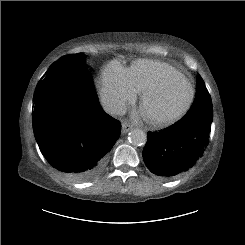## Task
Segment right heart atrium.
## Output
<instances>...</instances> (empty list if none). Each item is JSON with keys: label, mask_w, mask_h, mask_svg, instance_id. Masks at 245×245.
<instances>
[{"label": "right heart atrium", "mask_w": 245, "mask_h": 245, "mask_svg": "<svg viewBox=\"0 0 245 245\" xmlns=\"http://www.w3.org/2000/svg\"><path fill=\"white\" fill-rule=\"evenodd\" d=\"M99 93L106 106L115 114H121L127 105L136 100L127 69L118 62L106 66L99 80Z\"/></svg>", "instance_id": "right-heart-atrium-1"}]
</instances>
